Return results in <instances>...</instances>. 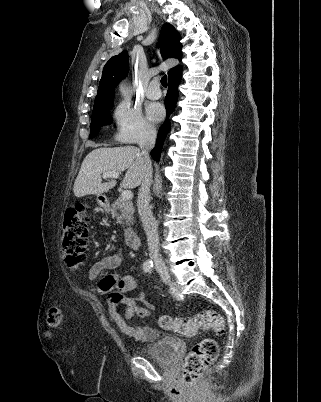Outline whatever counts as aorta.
I'll return each instance as SVG.
<instances>
[{
  "instance_id": "762f6f07",
  "label": "aorta",
  "mask_w": 321,
  "mask_h": 402,
  "mask_svg": "<svg viewBox=\"0 0 321 402\" xmlns=\"http://www.w3.org/2000/svg\"><path fill=\"white\" fill-rule=\"evenodd\" d=\"M120 90H121L122 93H126V92H127V90H126L125 88H121ZM145 265H147L148 267H151L152 261H151V260H147V261L145 262Z\"/></svg>"
}]
</instances>
